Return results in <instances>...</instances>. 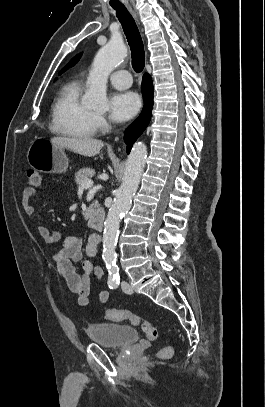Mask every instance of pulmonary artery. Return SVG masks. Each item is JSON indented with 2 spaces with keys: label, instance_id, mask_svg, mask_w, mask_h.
<instances>
[{
  "label": "pulmonary artery",
  "instance_id": "e3ab8cb5",
  "mask_svg": "<svg viewBox=\"0 0 265 407\" xmlns=\"http://www.w3.org/2000/svg\"><path fill=\"white\" fill-rule=\"evenodd\" d=\"M111 84L118 89H127L132 84V78L128 71L117 70L110 75Z\"/></svg>",
  "mask_w": 265,
  "mask_h": 407
}]
</instances>
